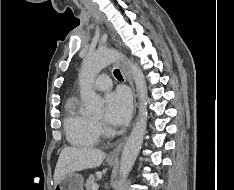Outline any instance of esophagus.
Here are the masks:
<instances>
[{"label":"esophagus","instance_id":"34e87169","mask_svg":"<svg viewBox=\"0 0 234 190\" xmlns=\"http://www.w3.org/2000/svg\"><path fill=\"white\" fill-rule=\"evenodd\" d=\"M114 40V38H113ZM122 71H123V74L124 76L126 77L127 81L129 82V85L131 86L132 88V91H133V98H134V114L136 112V95H135V90H134V84H133V81H132V78L128 72V70L123 66L122 67ZM123 145H124V141L120 142L118 144V146L116 148H114L108 155V158L109 159H118L119 157V154L123 148Z\"/></svg>","mask_w":234,"mask_h":190}]
</instances>
